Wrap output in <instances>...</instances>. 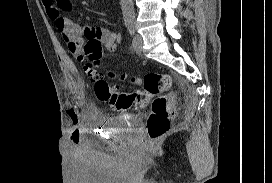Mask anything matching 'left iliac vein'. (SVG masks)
<instances>
[{
	"mask_svg": "<svg viewBox=\"0 0 272 183\" xmlns=\"http://www.w3.org/2000/svg\"><path fill=\"white\" fill-rule=\"evenodd\" d=\"M132 45L134 50L138 53L141 54L142 48H143V39L140 35H135L132 41Z\"/></svg>",
	"mask_w": 272,
	"mask_h": 183,
	"instance_id": "left-iliac-vein-1",
	"label": "left iliac vein"
}]
</instances>
